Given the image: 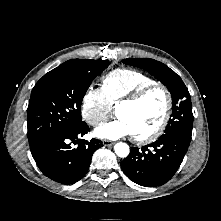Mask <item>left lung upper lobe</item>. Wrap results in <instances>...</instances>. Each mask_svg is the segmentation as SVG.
Here are the masks:
<instances>
[{"label": "left lung upper lobe", "mask_w": 221, "mask_h": 221, "mask_svg": "<svg viewBox=\"0 0 221 221\" xmlns=\"http://www.w3.org/2000/svg\"><path fill=\"white\" fill-rule=\"evenodd\" d=\"M123 63L145 69L169 89L173 112L162 136H177L191 141L194 120L191 98L180 76L165 64L150 58H128Z\"/></svg>", "instance_id": "obj_1"}]
</instances>
